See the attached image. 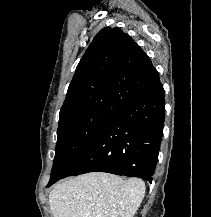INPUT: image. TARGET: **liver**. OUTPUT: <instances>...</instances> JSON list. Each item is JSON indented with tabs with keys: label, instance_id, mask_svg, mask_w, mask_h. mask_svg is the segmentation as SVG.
Instances as JSON below:
<instances>
[{
	"label": "liver",
	"instance_id": "obj_1",
	"mask_svg": "<svg viewBox=\"0 0 211 217\" xmlns=\"http://www.w3.org/2000/svg\"><path fill=\"white\" fill-rule=\"evenodd\" d=\"M145 189L138 178L91 172L57 184L49 204L53 217H133Z\"/></svg>",
	"mask_w": 211,
	"mask_h": 217
}]
</instances>
